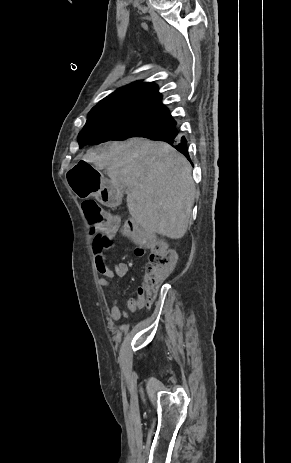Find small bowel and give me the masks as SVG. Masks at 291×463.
Instances as JSON below:
<instances>
[{"label": "small bowel", "mask_w": 291, "mask_h": 463, "mask_svg": "<svg viewBox=\"0 0 291 463\" xmlns=\"http://www.w3.org/2000/svg\"><path fill=\"white\" fill-rule=\"evenodd\" d=\"M114 247L115 244L112 241V235L107 232L91 237L93 257L96 269L100 275L98 284L103 288H111L112 279L124 277L128 272V265L125 262H113L105 259L104 250L113 249ZM134 254L136 256H142L144 255V250L136 245ZM145 304L146 298L144 290L139 288L136 296L128 301L126 308H122L119 300L114 298L111 304L110 316L113 321H119L122 316L135 313L137 309L143 308Z\"/></svg>", "instance_id": "1"}]
</instances>
